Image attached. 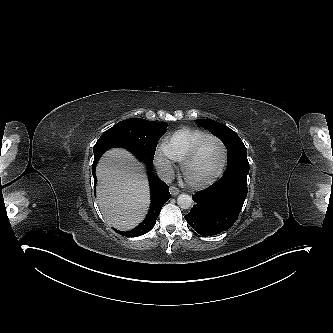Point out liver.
Segmentation results:
<instances>
[{"label": "liver", "mask_w": 333, "mask_h": 333, "mask_svg": "<svg viewBox=\"0 0 333 333\" xmlns=\"http://www.w3.org/2000/svg\"><path fill=\"white\" fill-rule=\"evenodd\" d=\"M97 203L105 220L121 231L136 227L147 214L150 192L145 167L128 151H107L97 165Z\"/></svg>", "instance_id": "1"}]
</instances>
